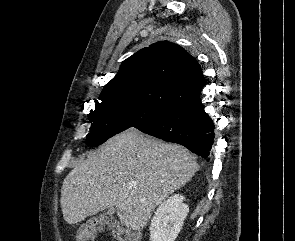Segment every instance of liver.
Instances as JSON below:
<instances>
[{
	"instance_id": "obj_1",
	"label": "liver",
	"mask_w": 295,
	"mask_h": 241,
	"mask_svg": "<svg viewBox=\"0 0 295 241\" xmlns=\"http://www.w3.org/2000/svg\"><path fill=\"white\" fill-rule=\"evenodd\" d=\"M195 157L184 147L129 130L109 139L66 176L61 189L64 220L117 208L127 228L140 232L152 211L197 172Z\"/></svg>"
}]
</instances>
